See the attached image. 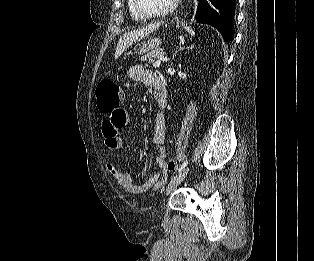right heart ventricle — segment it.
<instances>
[{"mask_svg": "<svg viewBox=\"0 0 314 261\" xmlns=\"http://www.w3.org/2000/svg\"><path fill=\"white\" fill-rule=\"evenodd\" d=\"M127 8L130 16L136 21H144L146 18L143 17L135 8L134 0H127Z\"/></svg>", "mask_w": 314, "mask_h": 261, "instance_id": "1", "label": "right heart ventricle"}]
</instances>
